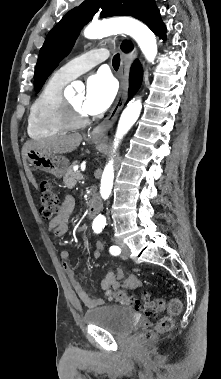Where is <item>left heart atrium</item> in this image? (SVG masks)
Returning a JSON list of instances; mask_svg holds the SVG:
<instances>
[{
	"label": "left heart atrium",
	"instance_id": "1",
	"mask_svg": "<svg viewBox=\"0 0 221 379\" xmlns=\"http://www.w3.org/2000/svg\"><path fill=\"white\" fill-rule=\"evenodd\" d=\"M116 91V84L108 74L99 72L90 76L86 82L83 111L90 115L105 111L113 102Z\"/></svg>",
	"mask_w": 221,
	"mask_h": 379
}]
</instances>
